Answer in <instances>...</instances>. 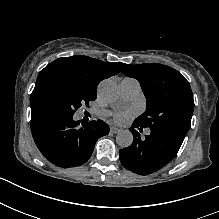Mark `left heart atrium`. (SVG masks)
I'll list each match as a JSON object with an SVG mask.
<instances>
[{
    "instance_id": "obj_1",
    "label": "left heart atrium",
    "mask_w": 219,
    "mask_h": 219,
    "mask_svg": "<svg viewBox=\"0 0 219 219\" xmlns=\"http://www.w3.org/2000/svg\"><path fill=\"white\" fill-rule=\"evenodd\" d=\"M132 115L133 113L131 111L120 112L115 115L114 119L118 124H122L126 122L127 119L130 118Z\"/></svg>"
}]
</instances>
